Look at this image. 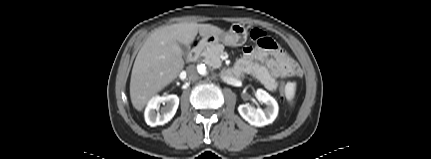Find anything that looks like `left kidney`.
Returning a JSON list of instances; mask_svg holds the SVG:
<instances>
[{
    "instance_id": "left-kidney-1",
    "label": "left kidney",
    "mask_w": 431,
    "mask_h": 159,
    "mask_svg": "<svg viewBox=\"0 0 431 159\" xmlns=\"http://www.w3.org/2000/svg\"><path fill=\"white\" fill-rule=\"evenodd\" d=\"M257 100L266 104V108L254 109L249 104H242L238 107L241 117L251 125L261 127L272 123L278 115V104L276 100L266 91L258 89L255 93Z\"/></svg>"
}]
</instances>
